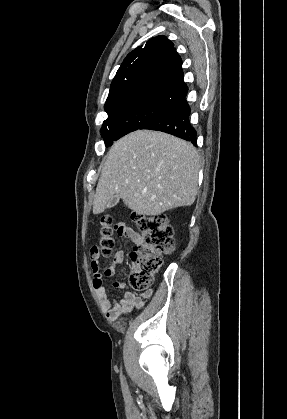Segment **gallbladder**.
<instances>
[{
	"label": "gallbladder",
	"mask_w": 287,
	"mask_h": 419,
	"mask_svg": "<svg viewBox=\"0 0 287 419\" xmlns=\"http://www.w3.org/2000/svg\"><path fill=\"white\" fill-rule=\"evenodd\" d=\"M119 197H113L107 204V208L111 209L119 203Z\"/></svg>",
	"instance_id": "bac80fb5"
}]
</instances>
